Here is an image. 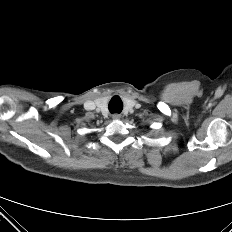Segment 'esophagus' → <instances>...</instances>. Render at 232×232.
Segmentation results:
<instances>
[{
	"label": "esophagus",
	"mask_w": 232,
	"mask_h": 232,
	"mask_svg": "<svg viewBox=\"0 0 232 232\" xmlns=\"http://www.w3.org/2000/svg\"><path fill=\"white\" fill-rule=\"evenodd\" d=\"M112 118L115 120H118L121 118V115L120 114H113Z\"/></svg>",
	"instance_id": "esophagus-1"
}]
</instances>
